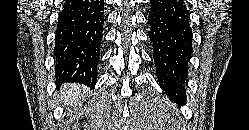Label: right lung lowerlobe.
Instances as JSON below:
<instances>
[{
  "instance_id": "98d812e1",
  "label": "right lung lower lobe",
  "mask_w": 249,
  "mask_h": 130,
  "mask_svg": "<svg viewBox=\"0 0 249 130\" xmlns=\"http://www.w3.org/2000/svg\"><path fill=\"white\" fill-rule=\"evenodd\" d=\"M104 17L103 0L66 1L59 15L54 47L58 83H96Z\"/></svg>"
}]
</instances>
